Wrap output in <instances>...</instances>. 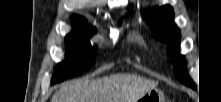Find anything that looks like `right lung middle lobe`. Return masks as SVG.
Instances as JSON below:
<instances>
[{
	"label": "right lung middle lobe",
	"instance_id": "right-lung-middle-lobe-1",
	"mask_svg": "<svg viewBox=\"0 0 221 102\" xmlns=\"http://www.w3.org/2000/svg\"><path fill=\"white\" fill-rule=\"evenodd\" d=\"M122 21H119L121 24ZM74 30L69 33L66 40V60L61 62L52 78L53 82H61L72 78L89 69L95 63L96 48L91 47L90 37L95 28L84 25L82 21H75Z\"/></svg>",
	"mask_w": 221,
	"mask_h": 102
}]
</instances>
